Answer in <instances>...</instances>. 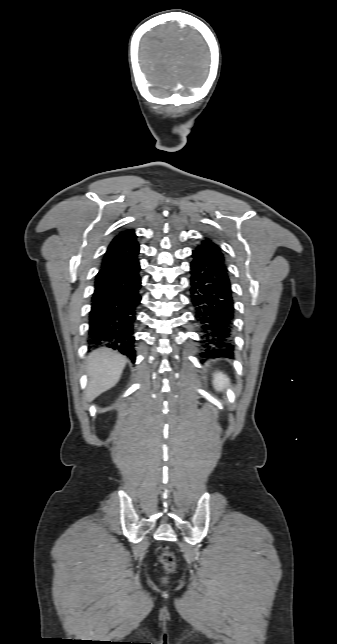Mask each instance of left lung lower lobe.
Returning <instances> with one entry per match:
<instances>
[{"instance_id": "obj_1", "label": "left lung lower lobe", "mask_w": 337, "mask_h": 644, "mask_svg": "<svg viewBox=\"0 0 337 644\" xmlns=\"http://www.w3.org/2000/svg\"><path fill=\"white\" fill-rule=\"evenodd\" d=\"M190 300L202 332V355L232 354L234 300L228 271L215 260L193 251Z\"/></svg>"}]
</instances>
